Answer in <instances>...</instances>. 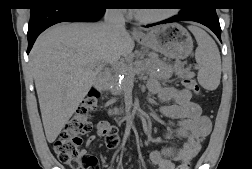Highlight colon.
<instances>
[{"mask_svg": "<svg viewBox=\"0 0 252 169\" xmlns=\"http://www.w3.org/2000/svg\"><path fill=\"white\" fill-rule=\"evenodd\" d=\"M182 84L194 93L200 92L198 84L190 77H184ZM98 99L99 92L96 89L89 90L54 143V152L58 160L69 165L72 169H92L96 165V158L84 153L81 146L84 135L91 130V117L97 108ZM105 139L109 147L118 145L119 136L115 127L110 126L107 129ZM190 168L191 163L189 161H184L177 167V169Z\"/></svg>", "mask_w": 252, "mask_h": 169, "instance_id": "obj_1", "label": "colon"}]
</instances>
